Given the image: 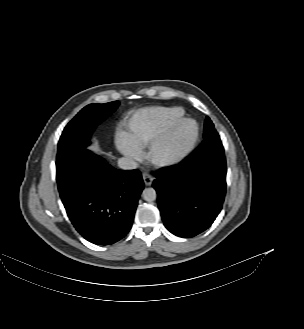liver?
Returning a JSON list of instances; mask_svg holds the SVG:
<instances>
[{
  "label": "liver",
  "mask_w": 304,
  "mask_h": 329,
  "mask_svg": "<svg viewBox=\"0 0 304 329\" xmlns=\"http://www.w3.org/2000/svg\"><path fill=\"white\" fill-rule=\"evenodd\" d=\"M89 149L90 150H93V151H95L97 153H100L101 152L100 147H99V145L97 143H95L94 145L90 146Z\"/></svg>",
  "instance_id": "obj_1"
}]
</instances>
